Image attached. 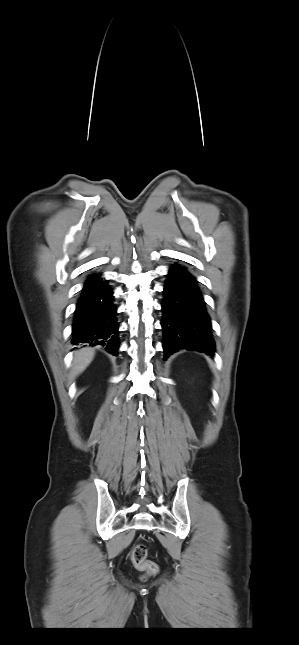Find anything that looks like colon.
<instances>
[{"instance_id": "colon-1", "label": "colon", "mask_w": 299, "mask_h": 645, "mask_svg": "<svg viewBox=\"0 0 299 645\" xmlns=\"http://www.w3.org/2000/svg\"><path fill=\"white\" fill-rule=\"evenodd\" d=\"M130 558L134 566L145 572L146 575H154L158 572L157 564L147 559V548L145 545L141 543L135 545L131 551Z\"/></svg>"}]
</instances>
